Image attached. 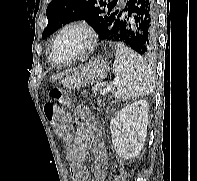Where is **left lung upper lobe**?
<instances>
[{
	"instance_id": "5c2ea615",
	"label": "left lung upper lobe",
	"mask_w": 197,
	"mask_h": 181,
	"mask_svg": "<svg viewBox=\"0 0 197 181\" xmlns=\"http://www.w3.org/2000/svg\"><path fill=\"white\" fill-rule=\"evenodd\" d=\"M120 8L117 0H52L46 10L48 25L42 38H47L62 25L85 20L101 39Z\"/></svg>"
}]
</instances>
